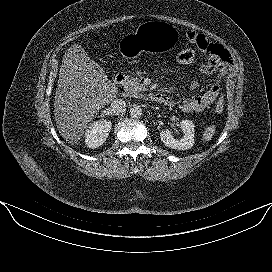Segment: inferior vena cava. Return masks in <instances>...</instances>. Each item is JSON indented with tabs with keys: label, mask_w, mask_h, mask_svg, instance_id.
<instances>
[{
	"label": "inferior vena cava",
	"mask_w": 272,
	"mask_h": 272,
	"mask_svg": "<svg viewBox=\"0 0 272 272\" xmlns=\"http://www.w3.org/2000/svg\"><path fill=\"white\" fill-rule=\"evenodd\" d=\"M110 110L113 114L118 115L125 110L126 103L123 99H115L111 102Z\"/></svg>",
	"instance_id": "1"
}]
</instances>
